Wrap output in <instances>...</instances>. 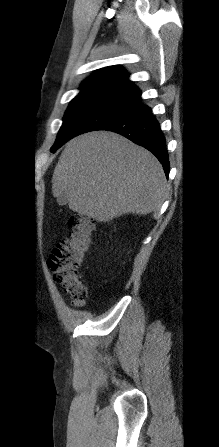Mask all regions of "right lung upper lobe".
<instances>
[{
    "label": "right lung upper lobe",
    "mask_w": 219,
    "mask_h": 447,
    "mask_svg": "<svg viewBox=\"0 0 219 447\" xmlns=\"http://www.w3.org/2000/svg\"><path fill=\"white\" fill-rule=\"evenodd\" d=\"M129 74L119 66H109L97 70L84 81L82 88H110L131 97L141 99L140 90L128 80Z\"/></svg>",
    "instance_id": "cb5924a9"
}]
</instances>
